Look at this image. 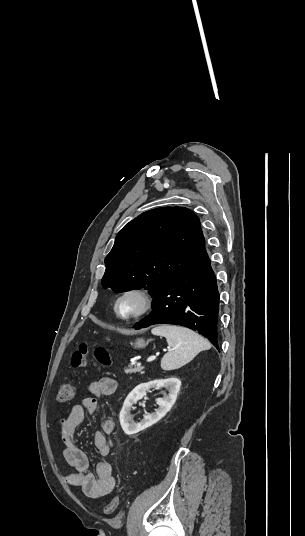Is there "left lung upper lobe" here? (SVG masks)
<instances>
[{"instance_id": "5c2ea615", "label": "left lung upper lobe", "mask_w": 305, "mask_h": 536, "mask_svg": "<svg viewBox=\"0 0 305 536\" xmlns=\"http://www.w3.org/2000/svg\"><path fill=\"white\" fill-rule=\"evenodd\" d=\"M199 218L184 207L142 213L116 236L105 258L104 288L116 292L146 288L153 297L204 249Z\"/></svg>"}]
</instances>
